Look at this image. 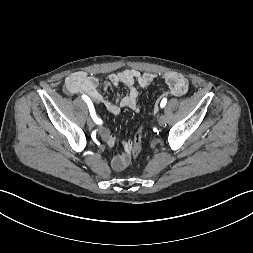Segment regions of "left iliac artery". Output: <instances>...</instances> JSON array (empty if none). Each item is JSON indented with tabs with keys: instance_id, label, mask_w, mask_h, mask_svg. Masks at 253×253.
<instances>
[{
	"instance_id": "44dca946",
	"label": "left iliac artery",
	"mask_w": 253,
	"mask_h": 253,
	"mask_svg": "<svg viewBox=\"0 0 253 253\" xmlns=\"http://www.w3.org/2000/svg\"><path fill=\"white\" fill-rule=\"evenodd\" d=\"M166 103H167V100H166V99H163V100L161 101V104H160L161 108H163V107L166 105Z\"/></svg>"
}]
</instances>
